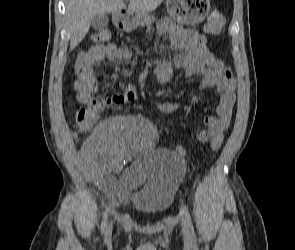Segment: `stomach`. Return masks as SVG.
Listing matches in <instances>:
<instances>
[{
	"label": "stomach",
	"instance_id": "1",
	"mask_svg": "<svg viewBox=\"0 0 295 250\" xmlns=\"http://www.w3.org/2000/svg\"><path fill=\"white\" fill-rule=\"evenodd\" d=\"M167 11L177 23L195 25L201 23L210 11L209 0H167ZM155 17L149 13L130 12L120 15L118 25L124 31H132L139 26H151Z\"/></svg>",
	"mask_w": 295,
	"mask_h": 250
}]
</instances>
